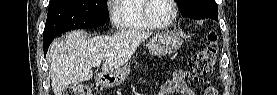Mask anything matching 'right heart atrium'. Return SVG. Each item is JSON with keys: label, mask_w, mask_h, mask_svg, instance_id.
<instances>
[{"label": "right heart atrium", "mask_w": 277, "mask_h": 95, "mask_svg": "<svg viewBox=\"0 0 277 95\" xmlns=\"http://www.w3.org/2000/svg\"><path fill=\"white\" fill-rule=\"evenodd\" d=\"M110 19L112 23L115 24V14L112 11H110Z\"/></svg>", "instance_id": "obj_1"}]
</instances>
